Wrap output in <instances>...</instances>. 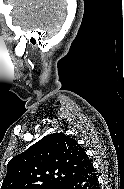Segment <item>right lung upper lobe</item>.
Instances as JSON below:
<instances>
[{
	"instance_id": "right-lung-upper-lobe-1",
	"label": "right lung upper lobe",
	"mask_w": 124,
	"mask_h": 189,
	"mask_svg": "<svg viewBox=\"0 0 124 189\" xmlns=\"http://www.w3.org/2000/svg\"><path fill=\"white\" fill-rule=\"evenodd\" d=\"M90 164V158L75 139L64 133H53L9 161L1 189L64 186Z\"/></svg>"
}]
</instances>
